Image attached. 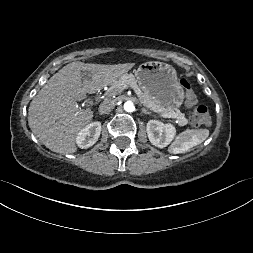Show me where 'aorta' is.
<instances>
[{
	"label": "aorta",
	"mask_w": 253,
	"mask_h": 253,
	"mask_svg": "<svg viewBox=\"0 0 253 253\" xmlns=\"http://www.w3.org/2000/svg\"><path fill=\"white\" fill-rule=\"evenodd\" d=\"M134 109V104L131 101H127L124 103V110L127 112H131Z\"/></svg>",
	"instance_id": "1"
}]
</instances>
